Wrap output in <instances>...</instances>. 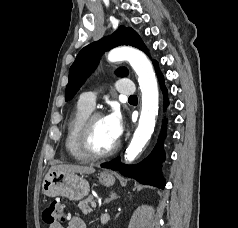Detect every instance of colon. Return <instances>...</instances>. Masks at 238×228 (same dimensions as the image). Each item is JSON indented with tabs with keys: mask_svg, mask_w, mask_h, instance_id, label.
<instances>
[{
	"mask_svg": "<svg viewBox=\"0 0 238 228\" xmlns=\"http://www.w3.org/2000/svg\"><path fill=\"white\" fill-rule=\"evenodd\" d=\"M43 220L46 224H63L67 219L66 208L62 202L53 201L43 211Z\"/></svg>",
	"mask_w": 238,
	"mask_h": 228,
	"instance_id": "obj_1",
	"label": "colon"
}]
</instances>
